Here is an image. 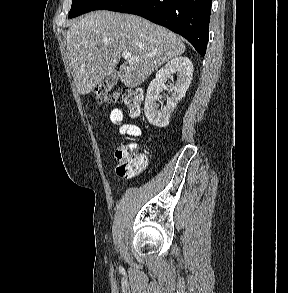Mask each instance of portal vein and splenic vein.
<instances>
[{
    "instance_id": "18ae733b",
    "label": "portal vein and splenic vein",
    "mask_w": 288,
    "mask_h": 293,
    "mask_svg": "<svg viewBox=\"0 0 288 293\" xmlns=\"http://www.w3.org/2000/svg\"><path fill=\"white\" fill-rule=\"evenodd\" d=\"M149 56V55H148ZM122 57L127 61L138 60V56H133L131 53L124 51L122 52Z\"/></svg>"
}]
</instances>
